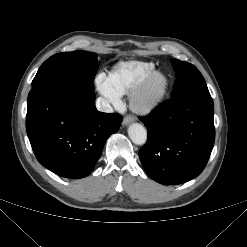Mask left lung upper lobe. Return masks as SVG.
<instances>
[{
  "mask_svg": "<svg viewBox=\"0 0 247 247\" xmlns=\"http://www.w3.org/2000/svg\"><path fill=\"white\" fill-rule=\"evenodd\" d=\"M176 73V81L171 98H178L193 93L209 92L199 70L190 63L171 59Z\"/></svg>",
  "mask_w": 247,
  "mask_h": 247,
  "instance_id": "left-lung-upper-lobe-1",
  "label": "left lung upper lobe"
}]
</instances>
